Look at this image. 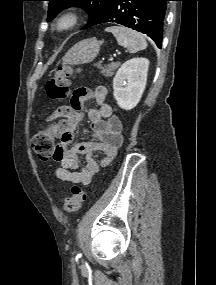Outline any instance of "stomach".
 <instances>
[{
    "label": "stomach",
    "mask_w": 216,
    "mask_h": 285,
    "mask_svg": "<svg viewBox=\"0 0 216 285\" xmlns=\"http://www.w3.org/2000/svg\"><path fill=\"white\" fill-rule=\"evenodd\" d=\"M100 51V42L94 38L76 43L63 57V64L81 65L92 62Z\"/></svg>",
    "instance_id": "stomach-1"
}]
</instances>
